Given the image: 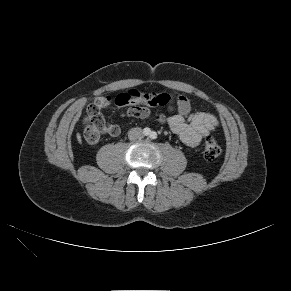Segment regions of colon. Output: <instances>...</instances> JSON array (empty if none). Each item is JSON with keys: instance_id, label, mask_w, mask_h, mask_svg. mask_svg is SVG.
<instances>
[{"instance_id": "obj_1", "label": "colon", "mask_w": 291, "mask_h": 291, "mask_svg": "<svg viewBox=\"0 0 291 291\" xmlns=\"http://www.w3.org/2000/svg\"><path fill=\"white\" fill-rule=\"evenodd\" d=\"M133 98L131 93H119L113 99V106L117 110H124L128 106V101ZM135 99L138 102H147L149 106L156 108L167 109L170 106V96L168 94H137ZM116 129L112 124H108L101 116L94 104H91L87 109L85 117L84 138L89 144H96L102 133L114 134ZM222 153L220 143L212 136L206 138L203 144V155L207 160H215Z\"/></svg>"}]
</instances>
